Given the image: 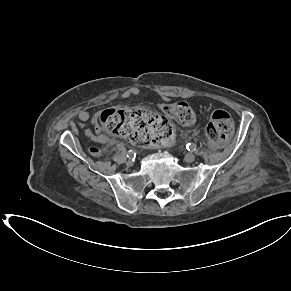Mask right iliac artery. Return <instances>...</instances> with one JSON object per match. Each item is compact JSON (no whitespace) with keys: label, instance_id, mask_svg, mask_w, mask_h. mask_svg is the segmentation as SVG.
<instances>
[{"label":"right iliac artery","instance_id":"1","mask_svg":"<svg viewBox=\"0 0 291 291\" xmlns=\"http://www.w3.org/2000/svg\"><path fill=\"white\" fill-rule=\"evenodd\" d=\"M135 156H136V153L134 151H132V150L128 151V153H127L128 158H134Z\"/></svg>","mask_w":291,"mask_h":291}]
</instances>
